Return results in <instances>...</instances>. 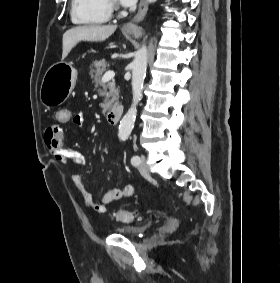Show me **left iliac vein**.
Here are the masks:
<instances>
[{"instance_id": "4c4485c4", "label": "left iliac vein", "mask_w": 280, "mask_h": 283, "mask_svg": "<svg viewBox=\"0 0 280 283\" xmlns=\"http://www.w3.org/2000/svg\"><path fill=\"white\" fill-rule=\"evenodd\" d=\"M138 170L142 176L146 177L150 175L149 167L146 163V157L144 155H141L139 158Z\"/></svg>"}]
</instances>
